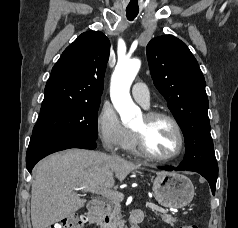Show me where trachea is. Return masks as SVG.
Wrapping results in <instances>:
<instances>
[{"instance_id": "1", "label": "trachea", "mask_w": 238, "mask_h": 228, "mask_svg": "<svg viewBox=\"0 0 238 228\" xmlns=\"http://www.w3.org/2000/svg\"><path fill=\"white\" fill-rule=\"evenodd\" d=\"M138 12V10H126V16L132 21L138 15Z\"/></svg>"}]
</instances>
